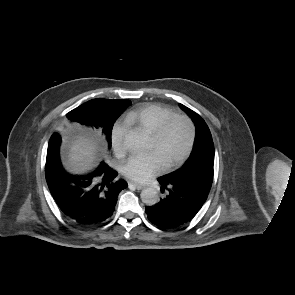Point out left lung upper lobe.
<instances>
[{
	"label": "left lung upper lobe",
	"mask_w": 295,
	"mask_h": 295,
	"mask_svg": "<svg viewBox=\"0 0 295 295\" xmlns=\"http://www.w3.org/2000/svg\"><path fill=\"white\" fill-rule=\"evenodd\" d=\"M180 107L191 117L195 124L194 147L188 160L181 168L162 177L187 182L199 179L212 181L215 151L210 130L201 116L182 104H180Z\"/></svg>",
	"instance_id": "left-lung-upper-lobe-1"
}]
</instances>
